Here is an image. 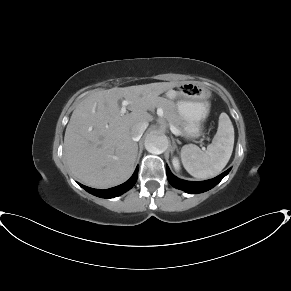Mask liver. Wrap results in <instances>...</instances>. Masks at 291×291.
I'll return each mask as SVG.
<instances>
[{"instance_id":"obj_1","label":"liver","mask_w":291,"mask_h":291,"mask_svg":"<svg viewBox=\"0 0 291 291\" xmlns=\"http://www.w3.org/2000/svg\"><path fill=\"white\" fill-rule=\"evenodd\" d=\"M174 82L114 87L93 92L73 111L64 136V156L71 173L84 184L105 189L132 174L138 144L131 128L153 120L147 111ZM131 103L121 114L119 100Z\"/></svg>"}]
</instances>
